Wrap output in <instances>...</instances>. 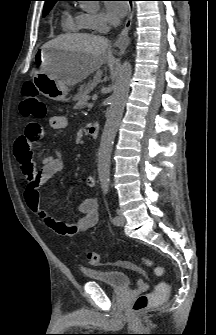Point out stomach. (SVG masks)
<instances>
[{"instance_id":"0dacf381","label":"stomach","mask_w":216,"mask_h":335,"mask_svg":"<svg viewBox=\"0 0 216 335\" xmlns=\"http://www.w3.org/2000/svg\"><path fill=\"white\" fill-rule=\"evenodd\" d=\"M75 55L76 53L68 50L45 46L37 53L36 60L40 64V69L35 73L33 82L44 96L54 101L69 100L68 86L56 79L54 75L63 72ZM80 94L78 93L73 99L77 100Z\"/></svg>"}]
</instances>
